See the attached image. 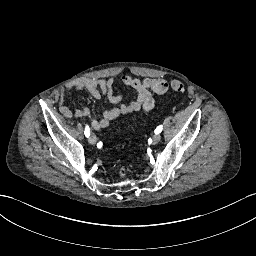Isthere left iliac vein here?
<instances>
[{
    "label": "left iliac vein",
    "instance_id": "left-iliac-vein-1",
    "mask_svg": "<svg viewBox=\"0 0 256 256\" xmlns=\"http://www.w3.org/2000/svg\"><path fill=\"white\" fill-rule=\"evenodd\" d=\"M160 139H161V136L159 134H155L152 138L154 144L158 143Z\"/></svg>",
    "mask_w": 256,
    "mask_h": 256
}]
</instances>
